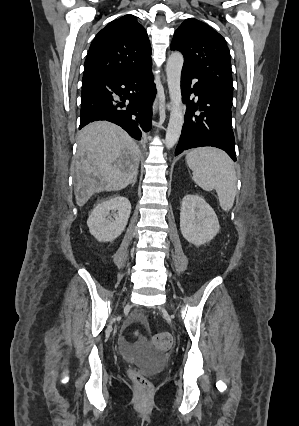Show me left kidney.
<instances>
[{"mask_svg":"<svg viewBox=\"0 0 299 426\" xmlns=\"http://www.w3.org/2000/svg\"><path fill=\"white\" fill-rule=\"evenodd\" d=\"M219 229L217 215L201 196H184L180 210V230L189 243L203 245L211 241Z\"/></svg>","mask_w":299,"mask_h":426,"instance_id":"1","label":"left kidney"}]
</instances>
